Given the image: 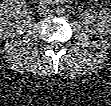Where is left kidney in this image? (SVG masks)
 <instances>
[{"instance_id":"1","label":"left kidney","mask_w":111,"mask_h":106,"mask_svg":"<svg viewBox=\"0 0 111 106\" xmlns=\"http://www.w3.org/2000/svg\"><path fill=\"white\" fill-rule=\"evenodd\" d=\"M103 16H100L90 26V31L94 34H111V9L104 8L102 10Z\"/></svg>"}]
</instances>
